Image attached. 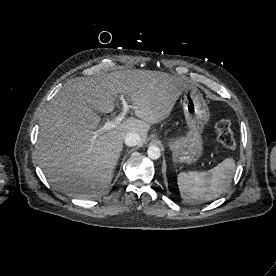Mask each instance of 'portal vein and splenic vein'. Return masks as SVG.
<instances>
[{"label":"portal vein and splenic vein","instance_id":"18ae733b","mask_svg":"<svg viewBox=\"0 0 276 276\" xmlns=\"http://www.w3.org/2000/svg\"><path fill=\"white\" fill-rule=\"evenodd\" d=\"M123 110L120 115H118L114 121H108L106 122L99 130L94 132L93 138L96 139L99 134H101L103 131L111 130L116 128L122 120H124L125 115L127 114L129 109H135V106L128 105V103L125 101L124 97H121Z\"/></svg>","mask_w":276,"mask_h":276}]
</instances>
